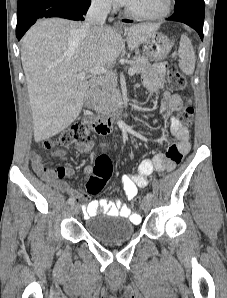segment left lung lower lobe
I'll list each match as a JSON object with an SVG mask.
<instances>
[{"label": "left lung lower lobe", "mask_w": 227, "mask_h": 298, "mask_svg": "<svg viewBox=\"0 0 227 298\" xmlns=\"http://www.w3.org/2000/svg\"><path fill=\"white\" fill-rule=\"evenodd\" d=\"M204 1L199 0H183L176 3L174 14L167 18L185 23L196 30L200 38L203 40V23H204ZM124 22H131V20L123 19Z\"/></svg>", "instance_id": "obj_1"}]
</instances>
